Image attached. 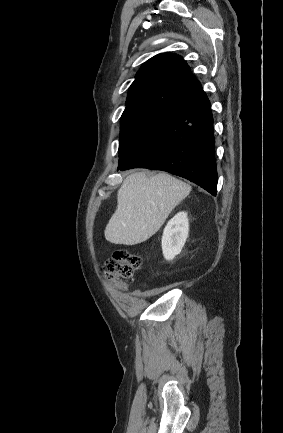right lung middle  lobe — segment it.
<instances>
[{"mask_svg": "<svg viewBox=\"0 0 283 433\" xmlns=\"http://www.w3.org/2000/svg\"><path fill=\"white\" fill-rule=\"evenodd\" d=\"M161 113L145 109H125L121 117L119 154L133 138Z\"/></svg>", "mask_w": 283, "mask_h": 433, "instance_id": "dd1d6c3e", "label": "right lung middle lobe"}]
</instances>
